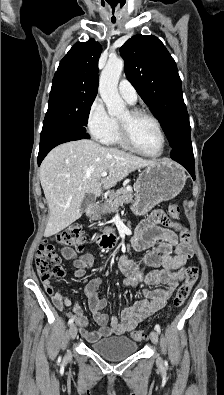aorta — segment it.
<instances>
[{"mask_svg":"<svg viewBox=\"0 0 224 395\" xmlns=\"http://www.w3.org/2000/svg\"><path fill=\"white\" fill-rule=\"evenodd\" d=\"M123 68L122 59H109L100 76L99 93L110 116H119L126 111V105L117 89Z\"/></svg>","mask_w":224,"mask_h":395,"instance_id":"762f6f07","label":"aorta"}]
</instances>
